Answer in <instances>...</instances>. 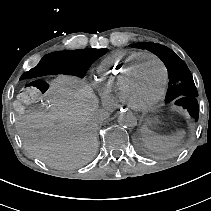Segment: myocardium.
Instances as JSON below:
<instances>
[{
	"mask_svg": "<svg viewBox=\"0 0 211 211\" xmlns=\"http://www.w3.org/2000/svg\"><path fill=\"white\" fill-rule=\"evenodd\" d=\"M147 59L155 60L160 65L162 74H163V83H162V88L160 90V93L158 94L156 98H154L151 102L147 104H139L135 102L130 96L131 84H132V80L136 74L137 69L139 68L141 63ZM167 77H168V73L163 61L156 55L147 54L141 58L140 62L125 77V80L122 86L120 100L123 102V104H125L129 109L133 111L141 112V113L151 112L157 107V105L160 103V101L164 97L166 84H167Z\"/></svg>",
	"mask_w": 211,
	"mask_h": 211,
	"instance_id": "1",
	"label": "myocardium"
}]
</instances>
